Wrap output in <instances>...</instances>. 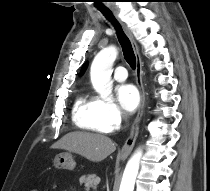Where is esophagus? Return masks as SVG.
<instances>
[{
	"mask_svg": "<svg viewBox=\"0 0 210 191\" xmlns=\"http://www.w3.org/2000/svg\"><path fill=\"white\" fill-rule=\"evenodd\" d=\"M114 15H115L116 19L118 20V22L120 23L125 34L130 39V42L133 47V51H134V54L136 57V84L139 89L140 98H141L137 116H136V118L132 124V127H131L130 136L128 137V139L126 140L125 144L123 145L122 149L119 152L120 156H128L134 147V144H135V141H136V138L138 135L139 122L141 120V117L144 112V107H145V90H144V86H143V69H142L143 63H142L141 56L139 53L138 45L133 37L132 32L122 21L119 20L116 11H114Z\"/></svg>",
	"mask_w": 210,
	"mask_h": 191,
	"instance_id": "34e87169",
	"label": "esophagus"
}]
</instances>
